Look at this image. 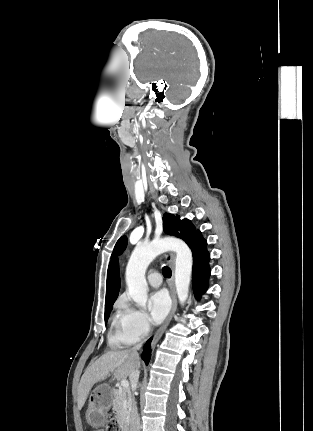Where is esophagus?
<instances>
[{
    "mask_svg": "<svg viewBox=\"0 0 313 431\" xmlns=\"http://www.w3.org/2000/svg\"><path fill=\"white\" fill-rule=\"evenodd\" d=\"M166 259L168 260V262L170 263L171 268H172V277L169 281L170 294H171V298H172V307H171V311H170L168 317L166 318L165 322L163 323V325L159 328V330L155 334L153 341H152V346H155V344L161 338L162 334L164 333L165 329L169 325V323H170V321H171V319H172V317L176 311V308H177V299H176V292H175V285H174V255L172 253H167Z\"/></svg>",
    "mask_w": 313,
    "mask_h": 431,
    "instance_id": "34e87169",
    "label": "esophagus"
}]
</instances>
